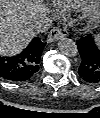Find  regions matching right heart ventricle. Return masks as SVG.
<instances>
[{
  "label": "right heart ventricle",
  "mask_w": 100,
  "mask_h": 118,
  "mask_svg": "<svg viewBox=\"0 0 100 118\" xmlns=\"http://www.w3.org/2000/svg\"><path fill=\"white\" fill-rule=\"evenodd\" d=\"M89 1L90 0H53L59 9L64 11L78 9L87 4Z\"/></svg>",
  "instance_id": "obj_1"
}]
</instances>
